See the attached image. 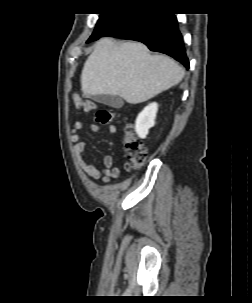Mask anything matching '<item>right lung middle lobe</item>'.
<instances>
[{
	"mask_svg": "<svg viewBox=\"0 0 252 303\" xmlns=\"http://www.w3.org/2000/svg\"><path fill=\"white\" fill-rule=\"evenodd\" d=\"M120 17V14H101L96 28L87 43L99 39Z\"/></svg>",
	"mask_w": 252,
	"mask_h": 303,
	"instance_id": "1",
	"label": "right lung middle lobe"
}]
</instances>
